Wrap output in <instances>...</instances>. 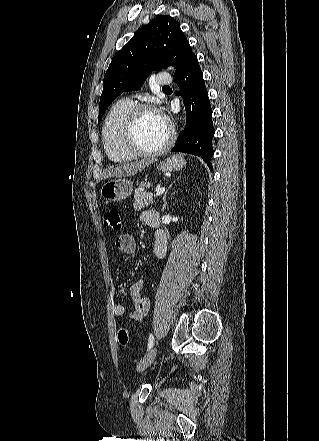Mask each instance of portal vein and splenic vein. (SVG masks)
<instances>
[{
  "instance_id": "obj_1",
  "label": "portal vein and splenic vein",
  "mask_w": 319,
  "mask_h": 441,
  "mask_svg": "<svg viewBox=\"0 0 319 441\" xmlns=\"http://www.w3.org/2000/svg\"><path fill=\"white\" fill-rule=\"evenodd\" d=\"M165 192V187L159 188L154 196H160Z\"/></svg>"
}]
</instances>
